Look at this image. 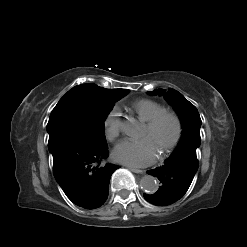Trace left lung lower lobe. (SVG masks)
I'll return each mask as SVG.
<instances>
[{"label": "left lung lower lobe", "mask_w": 247, "mask_h": 247, "mask_svg": "<svg viewBox=\"0 0 247 247\" xmlns=\"http://www.w3.org/2000/svg\"><path fill=\"white\" fill-rule=\"evenodd\" d=\"M196 149L178 147L164 165L147 173L158 178L160 189L154 194H143L146 201L157 206L173 204L187 192L198 169Z\"/></svg>", "instance_id": "left-lung-lower-lobe-1"}]
</instances>
